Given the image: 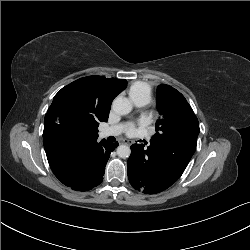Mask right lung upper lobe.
<instances>
[{
  "label": "right lung upper lobe",
  "instance_id": "obj_1",
  "mask_svg": "<svg viewBox=\"0 0 250 250\" xmlns=\"http://www.w3.org/2000/svg\"><path fill=\"white\" fill-rule=\"evenodd\" d=\"M125 79H110L94 75L80 78L62 88L54 97L44 120L43 144L51 170L62 176L74 153L97 141L96 131L89 129L81 134L63 129L56 116L57 101L62 92L77 88L81 95L82 108L98 125L108 120L113 99L126 87Z\"/></svg>",
  "mask_w": 250,
  "mask_h": 250
}]
</instances>
